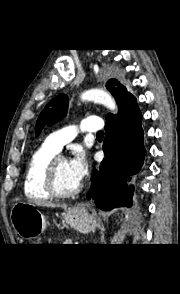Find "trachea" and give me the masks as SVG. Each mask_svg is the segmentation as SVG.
<instances>
[{"instance_id": "3493384b", "label": "trachea", "mask_w": 180, "mask_h": 294, "mask_svg": "<svg viewBox=\"0 0 180 294\" xmlns=\"http://www.w3.org/2000/svg\"><path fill=\"white\" fill-rule=\"evenodd\" d=\"M100 135H104V132L103 131L97 132V136H100Z\"/></svg>"}]
</instances>
